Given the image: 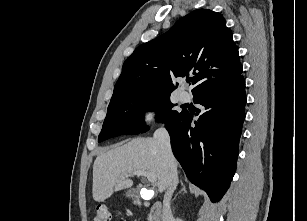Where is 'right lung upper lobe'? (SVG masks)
<instances>
[{
    "instance_id": "cb5924a9",
    "label": "right lung upper lobe",
    "mask_w": 307,
    "mask_h": 221,
    "mask_svg": "<svg viewBox=\"0 0 307 221\" xmlns=\"http://www.w3.org/2000/svg\"><path fill=\"white\" fill-rule=\"evenodd\" d=\"M189 73L194 74V97L244 80L231 30L217 12L194 10L136 48L123 64L110 104L135 94H170L175 89L172 77Z\"/></svg>"
}]
</instances>
